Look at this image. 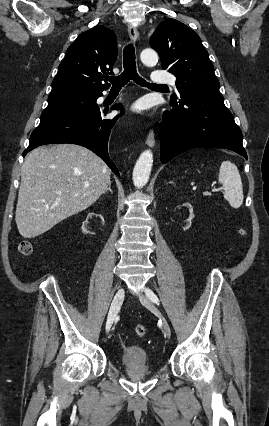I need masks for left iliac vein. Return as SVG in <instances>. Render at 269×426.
Returning <instances> with one entry per match:
<instances>
[{
	"label": "left iliac vein",
	"mask_w": 269,
	"mask_h": 426,
	"mask_svg": "<svg viewBox=\"0 0 269 426\" xmlns=\"http://www.w3.org/2000/svg\"><path fill=\"white\" fill-rule=\"evenodd\" d=\"M139 299L141 301V303L147 307L148 309L154 311L157 316L161 319L162 321V325H163V329H164V333L165 335L170 338L171 337V329L170 326L167 322V320L165 319V317L162 315V313L156 308V306L148 299L146 298L144 295H140Z\"/></svg>",
	"instance_id": "4c4485c4"
}]
</instances>
